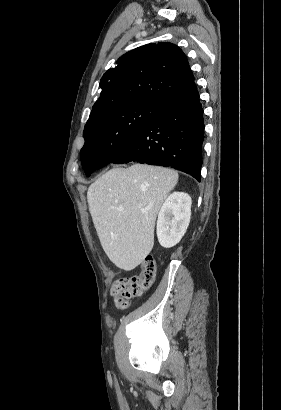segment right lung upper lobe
<instances>
[{"label":"right lung upper lobe","instance_id":"right-lung-upper-lobe-1","mask_svg":"<svg viewBox=\"0 0 281 410\" xmlns=\"http://www.w3.org/2000/svg\"><path fill=\"white\" fill-rule=\"evenodd\" d=\"M101 78L98 111L131 104L160 107L196 89L193 73L182 50L172 43L147 44L117 61Z\"/></svg>","mask_w":281,"mask_h":410}]
</instances>
